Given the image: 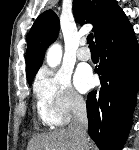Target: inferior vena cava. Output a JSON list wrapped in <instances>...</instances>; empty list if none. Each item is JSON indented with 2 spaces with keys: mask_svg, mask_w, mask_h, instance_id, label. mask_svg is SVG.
I'll return each mask as SVG.
<instances>
[{
  "mask_svg": "<svg viewBox=\"0 0 139 150\" xmlns=\"http://www.w3.org/2000/svg\"><path fill=\"white\" fill-rule=\"evenodd\" d=\"M72 102L73 118L68 129L75 139L76 150H88L86 104L79 97H74Z\"/></svg>",
  "mask_w": 139,
  "mask_h": 150,
  "instance_id": "inferior-vena-cava-1",
  "label": "inferior vena cava"
}]
</instances>
